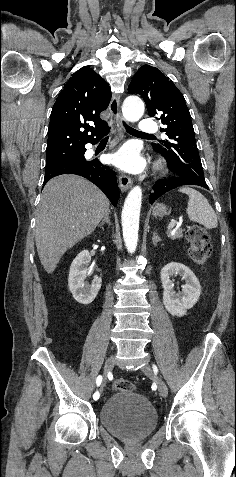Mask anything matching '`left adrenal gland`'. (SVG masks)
Here are the masks:
<instances>
[{
	"instance_id": "left-adrenal-gland-1",
	"label": "left adrenal gland",
	"mask_w": 236,
	"mask_h": 477,
	"mask_svg": "<svg viewBox=\"0 0 236 477\" xmlns=\"http://www.w3.org/2000/svg\"><path fill=\"white\" fill-rule=\"evenodd\" d=\"M161 241V238L158 236L157 232H153L152 242L156 246L158 242Z\"/></svg>"
}]
</instances>
